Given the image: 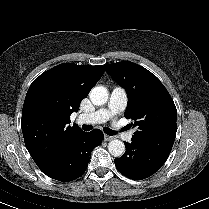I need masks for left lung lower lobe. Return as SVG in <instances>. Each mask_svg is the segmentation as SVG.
Here are the masks:
<instances>
[{"mask_svg": "<svg viewBox=\"0 0 209 209\" xmlns=\"http://www.w3.org/2000/svg\"><path fill=\"white\" fill-rule=\"evenodd\" d=\"M125 154L114 160L117 170L133 180L145 179L156 173L167 160L172 148L152 145L132 138L126 143Z\"/></svg>", "mask_w": 209, "mask_h": 209, "instance_id": "1", "label": "left lung lower lobe"}]
</instances>
